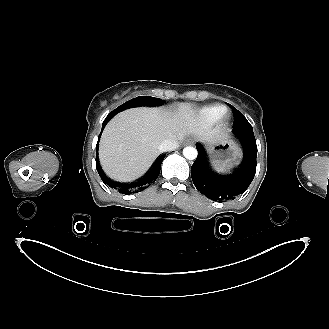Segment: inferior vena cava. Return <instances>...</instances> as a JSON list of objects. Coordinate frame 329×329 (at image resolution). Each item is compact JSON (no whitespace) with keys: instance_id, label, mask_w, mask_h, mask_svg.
<instances>
[{"instance_id":"obj_1","label":"inferior vena cava","mask_w":329,"mask_h":329,"mask_svg":"<svg viewBox=\"0 0 329 329\" xmlns=\"http://www.w3.org/2000/svg\"><path fill=\"white\" fill-rule=\"evenodd\" d=\"M178 142L176 140L167 139L161 142L159 145V150L161 152L173 151L178 148Z\"/></svg>"}]
</instances>
